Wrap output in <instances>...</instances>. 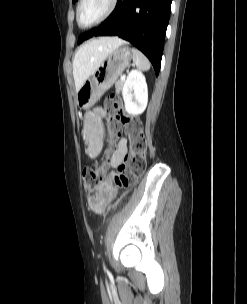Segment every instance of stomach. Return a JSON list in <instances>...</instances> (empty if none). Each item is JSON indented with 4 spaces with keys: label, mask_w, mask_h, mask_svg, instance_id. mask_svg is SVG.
<instances>
[{
    "label": "stomach",
    "mask_w": 247,
    "mask_h": 304,
    "mask_svg": "<svg viewBox=\"0 0 247 304\" xmlns=\"http://www.w3.org/2000/svg\"><path fill=\"white\" fill-rule=\"evenodd\" d=\"M131 58V50L127 46L117 48L110 53L91 78L76 92L77 105L82 109L92 107L128 67Z\"/></svg>",
    "instance_id": "stomach-1"
}]
</instances>
